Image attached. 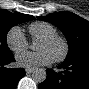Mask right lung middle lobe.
Wrapping results in <instances>:
<instances>
[{
    "label": "right lung middle lobe",
    "mask_w": 89,
    "mask_h": 89,
    "mask_svg": "<svg viewBox=\"0 0 89 89\" xmlns=\"http://www.w3.org/2000/svg\"><path fill=\"white\" fill-rule=\"evenodd\" d=\"M29 19L9 11H0V57L11 53L7 47L6 35L8 31L15 25L27 22Z\"/></svg>",
    "instance_id": "right-lung-middle-lobe-1"
}]
</instances>
